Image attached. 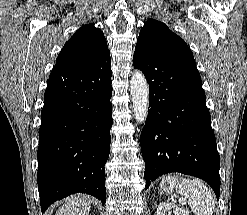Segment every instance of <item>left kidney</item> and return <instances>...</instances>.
Segmentation results:
<instances>
[{
  "label": "left kidney",
  "instance_id": "left-kidney-1",
  "mask_svg": "<svg viewBox=\"0 0 247 215\" xmlns=\"http://www.w3.org/2000/svg\"><path fill=\"white\" fill-rule=\"evenodd\" d=\"M157 215H189V213L175 204L162 202L158 205Z\"/></svg>",
  "mask_w": 247,
  "mask_h": 215
}]
</instances>
